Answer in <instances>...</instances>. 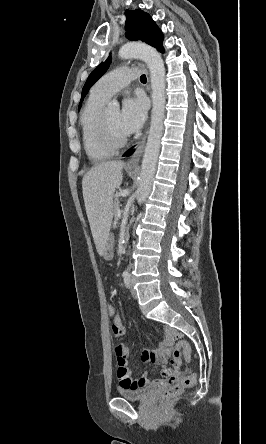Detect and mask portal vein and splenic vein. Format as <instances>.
<instances>
[{
  "mask_svg": "<svg viewBox=\"0 0 266 444\" xmlns=\"http://www.w3.org/2000/svg\"><path fill=\"white\" fill-rule=\"evenodd\" d=\"M117 216H118V218L121 217V210L120 209L117 210Z\"/></svg>",
  "mask_w": 266,
  "mask_h": 444,
  "instance_id": "obj_1",
  "label": "portal vein and splenic vein"
}]
</instances>
